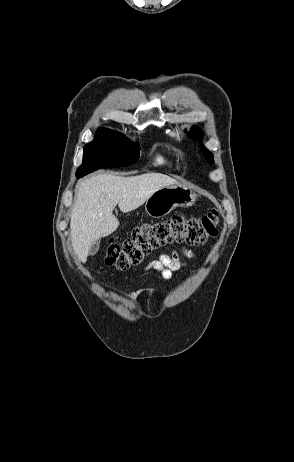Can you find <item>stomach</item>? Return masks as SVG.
Instances as JSON below:
<instances>
[{"label": "stomach", "mask_w": 294, "mask_h": 462, "mask_svg": "<svg viewBox=\"0 0 294 462\" xmlns=\"http://www.w3.org/2000/svg\"><path fill=\"white\" fill-rule=\"evenodd\" d=\"M196 194L182 185H168L155 191L145 203L146 213L153 218H161L178 206H192Z\"/></svg>", "instance_id": "1"}]
</instances>
